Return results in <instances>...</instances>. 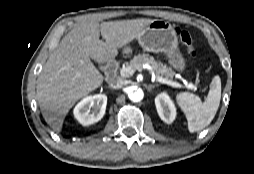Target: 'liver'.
<instances>
[{
    "label": "liver",
    "instance_id": "liver-1",
    "mask_svg": "<svg viewBox=\"0 0 254 174\" xmlns=\"http://www.w3.org/2000/svg\"><path fill=\"white\" fill-rule=\"evenodd\" d=\"M152 19L96 21L73 28L49 56L37 79V101L45 121L60 131L69 110L103 83L92 63L115 58L118 49L138 39ZM100 34L105 41L99 39Z\"/></svg>",
    "mask_w": 254,
    "mask_h": 174
}]
</instances>
